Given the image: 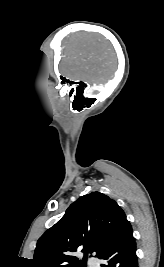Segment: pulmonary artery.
<instances>
[{
    "label": "pulmonary artery",
    "instance_id": "pulmonary-artery-1",
    "mask_svg": "<svg viewBox=\"0 0 164 267\" xmlns=\"http://www.w3.org/2000/svg\"><path fill=\"white\" fill-rule=\"evenodd\" d=\"M89 263L91 264L92 267H100L99 263L95 260H90Z\"/></svg>",
    "mask_w": 164,
    "mask_h": 267
}]
</instances>
